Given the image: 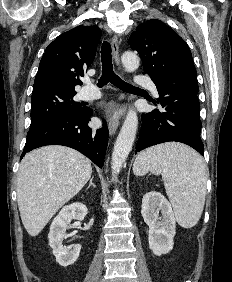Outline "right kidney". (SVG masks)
<instances>
[{"instance_id":"right-kidney-1","label":"right kidney","mask_w":232,"mask_h":282,"mask_svg":"<svg viewBox=\"0 0 232 282\" xmlns=\"http://www.w3.org/2000/svg\"><path fill=\"white\" fill-rule=\"evenodd\" d=\"M87 207L79 202L64 206L54 218L48 234L49 244L56 261L63 267L72 265L79 257L81 245L75 244L72 250L66 249L62 242L71 220H83L87 215Z\"/></svg>"}]
</instances>
